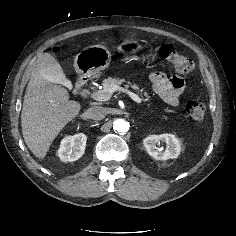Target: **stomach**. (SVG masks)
Wrapping results in <instances>:
<instances>
[{
  "label": "stomach",
  "mask_w": 236,
  "mask_h": 236,
  "mask_svg": "<svg viewBox=\"0 0 236 236\" xmlns=\"http://www.w3.org/2000/svg\"><path fill=\"white\" fill-rule=\"evenodd\" d=\"M141 48L142 45L135 39H125L117 47L121 53L135 52ZM111 56V52L103 45L86 47L75 56V71L81 77H94L109 66Z\"/></svg>",
  "instance_id": "1"
}]
</instances>
